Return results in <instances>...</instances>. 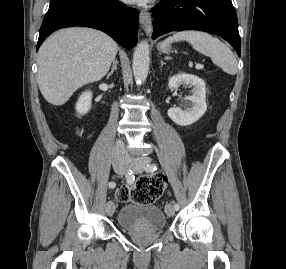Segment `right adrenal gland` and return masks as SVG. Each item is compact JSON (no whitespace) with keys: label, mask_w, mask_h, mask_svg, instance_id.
<instances>
[{"label":"right adrenal gland","mask_w":286,"mask_h":269,"mask_svg":"<svg viewBox=\"0 0 286 269\" xmlns=\"http://www.w3.org/2000/svg\"><path fill=\"white\" fill-rule=\"evenodd\" d=\"M117 64H118L117 59H114V60L112 61V68H111V71H110L108 77L111 76V75L114 73V71L117 70Z\"/></svg>","instance_id":"1"}]
</instances>
